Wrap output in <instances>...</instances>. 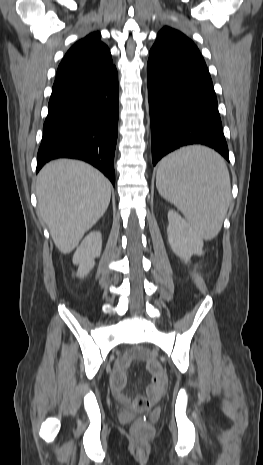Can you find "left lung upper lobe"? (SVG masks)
Segmentation results:
<instances>
[{
	"label": "left lung upper lobe",
	"mask_w": 263,
	"mask_h": 465,
	"mask_svg": "<svg viewBox=\"0 0 263 465\" xmlns=\"http://www.w3.org/2000/svg\"><path fill=\"white\" fill-rule=\"evenodd\" d=\"M154 45L199 52L196 45L189 38H187L183 33L169 27H164L160 30Z\"/></svg>",
	"instance_id": "left-lung-upper-lobe-1"
}]
</instances>
